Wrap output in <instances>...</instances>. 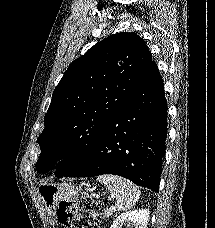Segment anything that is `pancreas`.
Listing matches in <instances>:
<instances>
[{
  "mask_svg": "<svg viewBox=\"0 0 215 228\" xmlns=\"http://www.w3.org/2000/svg\"><path fill=\"white\" fill-rule=\"evenodd\" d=\"M103 216L104 218H110V216H112V212H110V210H104Z\"/></svg>",
  "mask_w": 215,
  "mask_h": 228,
  "instance_id": "pancreas-1",
  "label": "pancreas"
}]
</instances>
